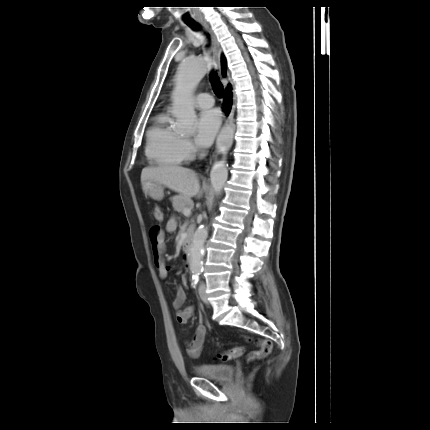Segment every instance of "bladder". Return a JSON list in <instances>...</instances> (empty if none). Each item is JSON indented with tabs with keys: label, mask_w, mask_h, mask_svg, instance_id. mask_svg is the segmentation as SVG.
Here are the masks:
<instances>
[{
	"label": "bladder",
	"mask_w": 430,
	"mask_h": 430,
	"mask_svg": "<svg viewBox=\"0 0 430 430\" xmlns=\"http://www.w3.org/2000/svg\"><path fill=\"white\" fill-rule=\"evenodd\" d=\"M196 375L210 380L227 382L235 374V368L224 364H201L195 367Z\"/></svg>",
	"instance_id": "obj_1"
}]
</instances>
